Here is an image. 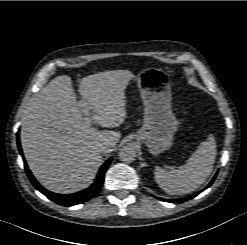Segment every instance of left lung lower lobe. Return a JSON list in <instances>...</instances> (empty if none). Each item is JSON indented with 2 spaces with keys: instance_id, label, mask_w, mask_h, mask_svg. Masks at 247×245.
<instances>
[{
  "instance_id": "0a47b994",
  "label": "left lung lower lobe",
  "mask_w": 247,
  "mask_h": 245,
  "mask_svg": "<svg viewBox=\"0 0 247 245\" xmlns=\"http://www.w3.org/2000/svg\"><path fill=\"white\" fill-rule=\"evenodd\" d=\"M216 177V176H215ZM215 177L213 178V180L209 183V185L206 187V188H208L212 183H213V181L215 180ZM205 188V189H206ZM203 191V190H202ZM200 192H198V193H196V194H194V195H192V196H190V197H188V198H184V199H176V200H167V199H161V198H159L160 200H162V201H167V202H177V203H181V202H185V201H187V200H189V199H191V198H193V197H195L196 195H198Z\"/></svg>"
}]
</instances>
